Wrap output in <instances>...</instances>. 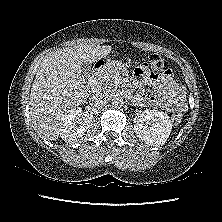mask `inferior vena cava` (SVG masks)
I'll list each match as a JSON object with an SVG mask.
<instances>
[{
    "label": "inferior vena cava",
    "mask_w": 222,
    "mask_h": 222,
    "mask_svg": "<svg viewBox=\"0 0 222 222\" xmlns=\"http://www.w3.org/2000/svg\"><path fill=\"white\" fill-rule=\"evenodd\" d=\"M108 103V97L104 93L93 94L90 98V105L95 108H102Z\"/></svg>",
    "instance_id": "602c4592"
}]
</instances>
